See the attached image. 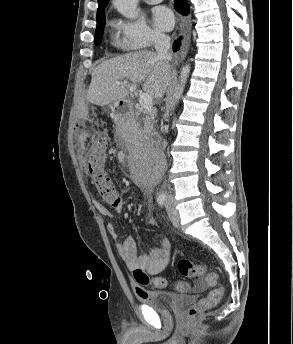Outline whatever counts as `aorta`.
I'll list each match as a JSON object with an SVG mask.
<instances>
[{
    "instance_id": "1",
    "label": "aorta",
    "mask_w": 293,
    "mask_h": 344,
    "mask_svg": "<svg viewBox=\"0 0 293 344\" xmlns=\"http://www.w3.org/2000/svg\"><path fill=\"white\" fill-rule=\"evenodd\" d=\"M138 0H114V6L117 11L128 19H135L138 15L137 12ZM190 73V64L182 67L179 76L180 83L174 89V99L176 102L181 98L187 79Z\"/></svg>"
}]
</instances>
